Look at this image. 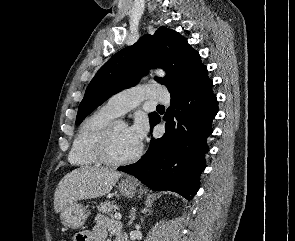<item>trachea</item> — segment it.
Listing matches in <instances>:
<instances>
[{
	"mask_svg": "<svg viewBox=\"0 0 295 241\" xmlns=\"http://www.w3.org/2000/svg\"><path fill=\"white\" fill-rule=\"evenodd\" d=\"M157 107H158V108H164V106H163V105H158Z\"/></svg>",
	"mask_w": 295,
	"mask_h": 241,
	"instance_id": "1",
	"label": "trachea"
}]
</instances>
